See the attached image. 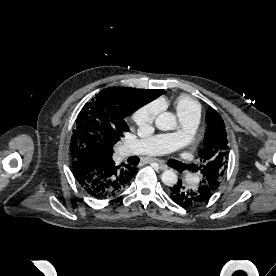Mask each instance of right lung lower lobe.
I'll return each mask as SVG.
<instances>
[{"instance_id": "obj_1", "label": "right lung lower lobe", "mask_w": 276, "mask_h": 276, "mask_svg": "<svg viewBox=\"0 0 276 276\" xmlns=\"http://www.w3.org/2000/svg\"><path fill=\"white\" fill-rule=\"evenodd\" d=\"M72 173L83 189L96 199L117 196L137 173L136 167L116 166L113 160H101L90 153H79L72 159Z\"/></svg>"}]
</instances>
